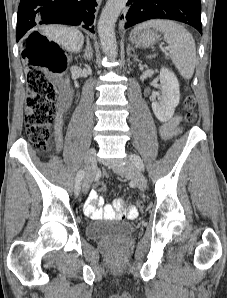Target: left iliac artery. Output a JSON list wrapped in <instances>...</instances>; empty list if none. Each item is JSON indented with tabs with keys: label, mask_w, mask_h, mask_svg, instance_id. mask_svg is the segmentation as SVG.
Wrapping results in <instances>:
<instances>
[{
	"label": "left iliac artery",
	"mask_w": 227,
	"mask_h": 298,
	"mask_svg": "<svg viewBox=\"0 0 227 298\" xmlns=\"http://www.w3.org/2000/svg\"><path fill=\"white\" fill-rule=\"evenodd\" d=\"M130 159H131V161H132L133 163L136 164V166H137L138 168H140L141 170H144V164H143V162H142V160H141V158H140L139 156H137V155H135V154H132V155L130 156Z\"/></svg>",
	"instance_id": "left-iliac-artery-1"
}]
</instances>
